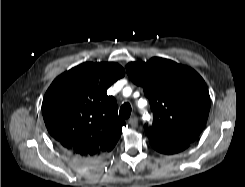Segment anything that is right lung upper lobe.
Segmentation results:
<instances>
[{
    "label": "right lung upper lobe",
    "instance_id": "cb5924a9",
    "mask_svg": "<svg viewBox=\"0 0 245 187\" xmlns=\"http://www.w3.org/2000/svg\"><path fill=\"white\" fill-rule=\"evenodd\" d=\"M125 75L113 62L80 64L58 76L42 104L50 135L74 156L97 159L108 154L121 136L125 122L118 117L110 85Z\"/></svg>",
    "mask_w": 245,
    "mask_h": 187
}]
</instances>
